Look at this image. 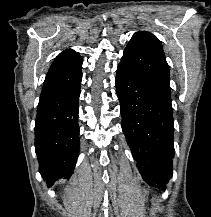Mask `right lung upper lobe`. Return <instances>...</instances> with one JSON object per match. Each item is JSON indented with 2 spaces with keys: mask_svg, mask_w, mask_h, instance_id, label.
Segmentation results:
<instances>
[{
  "mask_svg": "<svg viewBox=\"0 0 211 217\" xmlns=\"http://www.w3.org/2000/svg\"><path fill=\"white\" fill-rule=\"evenodd\" d=\"M81 68L82 59L78 52L71 49L61 52L46 75L41 94L73 82L81 73Z\"/></svg>",
  "mask_w": 211,
  "mask_h": 217,
  "instance_id": "1",
  "label": "right lung upper lobe"
}]
</instances>
